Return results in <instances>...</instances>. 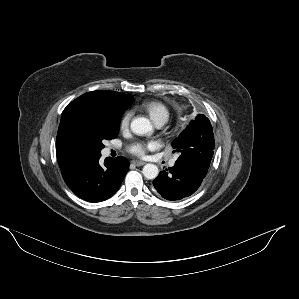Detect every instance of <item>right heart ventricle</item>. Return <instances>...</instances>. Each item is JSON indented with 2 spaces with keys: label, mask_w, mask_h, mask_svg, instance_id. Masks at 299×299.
I'll use <instances>...</instances> for the list:
<instances>
[{
  "label": "right heart ventricle",
  "mask_w": 299,
  "mask_h": 299,
  "mask_svg": "<svg viewBox=\"0 0 299 299\" xmlns=\"http://www.w3.org/2000/svg\"><path fill=\"white\" fill-rule=\"evenodd\" d=\"M141 108L149 115L156 124L160 121L167 122L170 116V111L167 105L160 101L149 100L142 103Z\"/></svg>",
  "instance_id": "1"
}]
</instances>
